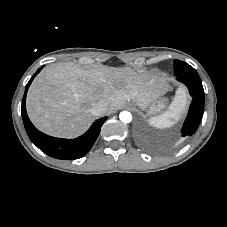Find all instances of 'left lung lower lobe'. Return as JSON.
<instances>
[{
  "label": "left lung lower lobe",
  "instance_id": "1",
  "mask_svg": "<svg viewBox=\"0 0 227 227\" xmlns=\"http://www.w3.org/2000/svg\"><path fill=\"white\" fill-rule=\"evenodd\" d=\"M177 80L185 84L192 96V103L188 112V116L182 128V136L188 137L193 135L202 118L204 110V93L200 77L179 76Z\"/></svg>",
  "mask_w": 227,
  "mask_h": 227
}]
</instances>
